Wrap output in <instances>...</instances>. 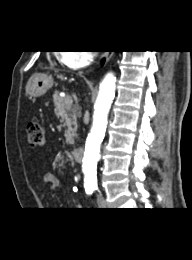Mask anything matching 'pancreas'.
<instances>
[{
    "label": "pancreas",
    "instance_id": "1",
    "mask_svg": "<svg viewBox=\"0 0 192 260\" xmlns=\"http://www.w3.org/2000/svg\"><path fill=\"white\" fill-rule=\"evenodd\" d=\"M53 102L57 118L64 122V127H67L65 131L66 143L72 145L76 136L77 118L80 117L81 111L77 106H67L66 97H61L58 92L53 95Z\"/></svg>",
    "mask_w": 192,
    "mask_h": 260
}]
</instances>
